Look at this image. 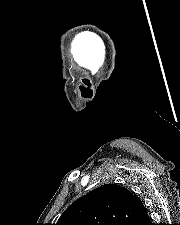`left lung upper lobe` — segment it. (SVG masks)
Wrapping results in <instances>:
<instances>
[{
    "mask_svg": "<svg viewBox=\"0 0 180 225\" xmlns=\"http://www.w3.org/2000/svg\"><path fill=\"white\" fill-rule=\"evenodd\" d=\"M145 211L128 189L106 184L71 204L56 225H129Z\"/></svg>",
    "mask_w": 180,
    "mask_h": 225,
    "instance_id": "obj_1",
    "label": "left lung upper lobe"
}]
</instances>
